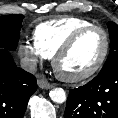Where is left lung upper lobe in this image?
<instances>
[{"label": "left lung upper lobe", "instance_id": "5c2ea615", "mask_svg": "<svg viewBox=\"0 0 118 118\" xmlns=\"http://www.w3.org/2000/svg\"><path fill=\"white\" fill-rule=\"evenodd\" d=\"M108 29L111 40L110 52L100 73L118 68V25L114 22H108Z\"/></svg>", "mask_w": 118, "mask_h": 118}]
</instances>
